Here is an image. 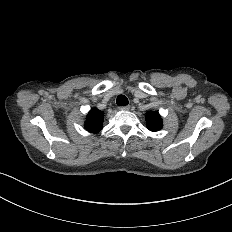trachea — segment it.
Here are the masks:
<instances>
[{
    "label": "trachea",
    "mask_w": 232,
    "mask_h": 232,
    "mask_svg": "<svg viewBox=\"0 0 232 232\" xmlns=\"http://www.w3.org/2000/svg\"><path fill=\"white\" fill-rule=\"evenodd\" d=\"M117 105L119 106H126L128 105V99L124 95H119L116 100Z\"/></svg>",
    "instance_id": "3493384b"
}]
</instances>
